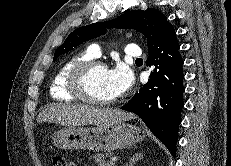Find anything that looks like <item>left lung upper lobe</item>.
Instances as JSON below:
<instances>
[{
    "mask_svg": "<svg viewBox=\"0 0 231 166\" xmlns=\"http://www.w3.org/2000/svg\"><path fill=\"white\" fill-rule=\"evenodd\" d=\"M117 27L121 29H135L147 38L148 49L151 48L161 36L171 27L165 15L160 11L148 8L145 11L133 10L124 13L114 20L93 23L74 30L65 42L56 49L55 61L60 55L79 46L82 42L93 39L105 32V28Z\"/></svg>",
    "mask_w": 231,
    "mask_h": 166,
    "instance_id": "obj_1",
    "label": "left lung upper lobe"
}]
</instances>
